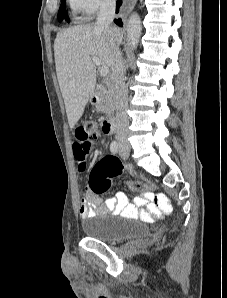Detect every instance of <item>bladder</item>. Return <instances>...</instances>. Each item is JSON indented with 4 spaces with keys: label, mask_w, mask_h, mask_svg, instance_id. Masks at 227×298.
<instances>
[{
    "label": "bladder",
    "mask_w": 227,
    "mask_h": 298,
    "mask_svg": "<svg viewBox=\"0 0 227 298\" xmlns=\"http://www.w3.org/2000/svg\"><path fill=\"white\" fill-rule=\"evenodd\" d=\"M82 229L87 237L110 244L146 238L151 233L146 224L137 220L107 219L104 216L85 221Z\"/></svg>",
    "instance_id": "obj_1"
}]
</instances>
